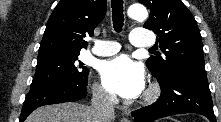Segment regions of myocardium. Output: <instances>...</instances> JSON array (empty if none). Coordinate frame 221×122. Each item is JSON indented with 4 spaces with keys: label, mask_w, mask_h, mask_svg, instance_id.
<instances>
[{
    "label": "myocardium",
    "mask_w": 221,
    "mask_h": 122,
    "mask_svg": "<svg viewBox=\"0 0 221 122\" xmlns=\"http://www.w3.org/2000/svg\"><path fill=\"white\" fill-rule=\"evenodd\" d=\"M159 95V88L157 86H152L145 96L146 101H153Z\"/></svg>",
    "instance_id": "myocardium-1"
}]
</instances>
